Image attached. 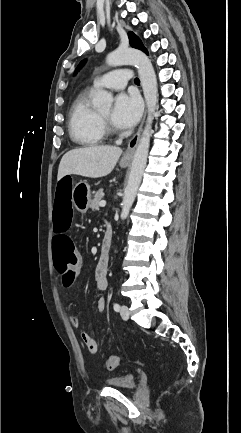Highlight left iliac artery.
Masks as SVG:
<instances>
[{"mask_svg": "<svg viewBox=\"0 0 241 433\" xmlns=\"http://www.w3.org/2000/svg\"><path fill=\"white\" fill-rule=\"evenodd\" d=\"M113 308H114L115 311L118 312L120 310V305L118 303H115L114 306H113Z\"/></svg>", "mask_w": 241, "mask_h": 433, "instance_id": "obj_1", "label": "left iliac artery"}]
</instances>
